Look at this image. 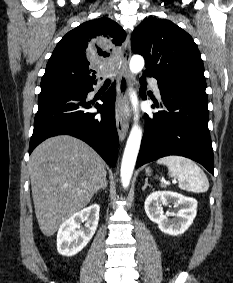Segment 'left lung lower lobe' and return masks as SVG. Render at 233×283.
Returning a JSON list of instances; mask_svg holds the SVG:
<instances>
[{"instance_id": "obj_1", "label": "left lung lower lobe", "mask_w": 233, "mask_h": 283, "mask_svg": "<svg viewBox=\"0 0 233 283\" xmlns=\"http://www.w3.org/2000/svg\"><path fill=\"white\" fill-rule=\"evenodd\" d=\"M140 83L146 86L145 77ZM162 107L146 127L136 167L168 155H180L202 164L213 174L214 156L208 129L206 87L178 82H159ZM140 95L147 99L143 91Z\"/></svg>"}]
</instances>
